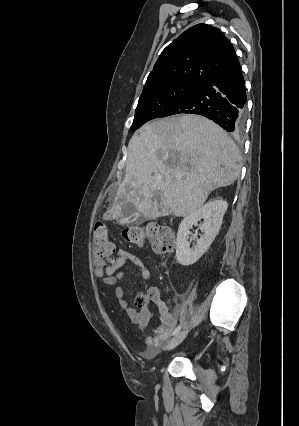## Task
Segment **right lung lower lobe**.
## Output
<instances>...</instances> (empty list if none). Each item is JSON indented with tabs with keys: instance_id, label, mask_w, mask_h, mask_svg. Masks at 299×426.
I'll list each match as a JSON object with an SVG mask.
<instances>
[{
	"instance_id": "obj_1",
	"label": "right lung lower lobe",
	"mask_w": 299,
	"mask_h": 426,
	"mask_svg": "<svg viewBox=\"0 0 299 426\" xmlns=\"http://www.w3.org/2000/svg\"><path fill=\"white\" fill-rule=\"evenodd\" d=\"M246 100L245 82L237 60L170 107L161 117L180 113L199 114L228 132L240 133L244 126Z\"/></svg>"
}]
</instances>
